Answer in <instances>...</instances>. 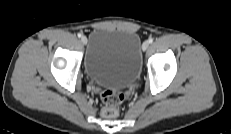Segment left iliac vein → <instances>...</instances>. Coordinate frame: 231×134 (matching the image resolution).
Here are the masks:
<instances>
[{"mask_svg": "<svg viewBox=\"0 0 231 134\" xmlns=\"http://www.w3.org/2000/svg\"><path fill=\"white\" fill-rule=\"evenodd\" d=\"M148 47H149V42H148V41H145V42L143 43V45H142L143 51H146V50L148 49Z\"/></svg>", "mask_w": 231, "mask_h": 134, "instance_id": "left-iliac-vein-1", "label": "left iliac vein"}]
</instances>
